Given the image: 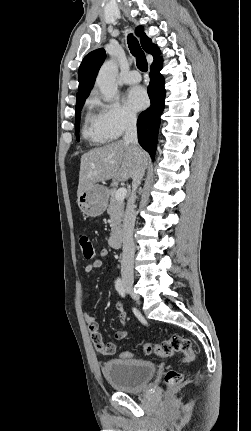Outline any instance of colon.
I'll return each instance as SVG.
<instances>
[{"mask_svg": "<svg viewBox=\"0 0 251 431\" xmlns=\"http://www.w3.org/2000/svg\"><path fill=\"white\" fill-rule=\"evenodd\" d=\"M79 247L83 257L86 260L95 258V248L92 240L86 234H80L78 238ZM143 350L146 354H154L161 358H167L175 353H181V362L189 363L194 359V350L192 343L188 338L181 335H172L169 339L160 343H147L143 345ZM132 353L124 351L121 353L122 358H130ZM182 381V374L174 369H170L165 373L164 382L168 388H173Z\"/></svg>", "mask_w": 251, "mask_h": 431, "instance_id": "5ec220e1", "label": "colon"}]
</instances>
